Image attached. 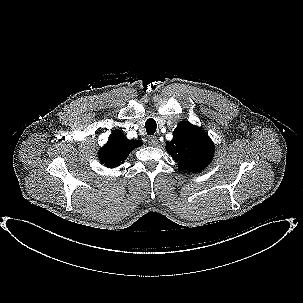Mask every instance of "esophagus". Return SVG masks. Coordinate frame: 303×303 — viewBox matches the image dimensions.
<instances>
[{
	"mask_svg": "<svg viewBox=\"0 0 303 303\" xmlns=\"http://www.w3.org/2000/svg\"><path fill=\"white\" fill-rule=\"evenodd\" d=\"M158 138L156 136H150L148 138L149 145L156 146L158 144Z\"/></svg>",
	"mask_w": 303,
	"mask_h": 303,
	"instance_id": "34e87169",
	"label": "esophagus"
}]
</instances>
